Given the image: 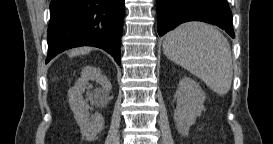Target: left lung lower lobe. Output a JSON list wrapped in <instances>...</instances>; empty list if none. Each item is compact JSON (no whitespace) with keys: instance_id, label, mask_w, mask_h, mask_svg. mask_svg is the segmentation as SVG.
Here are the masks:
<instances>
[{"instance_id":"obj_1","label":"left lung lower lobe","mask_w":273,"mask_h":144,"mask_svg":"<svg viewBox=\"0 0 273 144\" xmlns=\"http://www.w3.org/2000/svg\"><path fill=\"white\" fill-rule=\"evenodd\" d=\"M157 18L159 36L184 22L203 21L235 37L227 0H157Z\"/></svg>"}]
</instances>
